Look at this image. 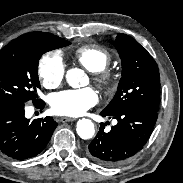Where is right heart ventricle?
Listing matches in <instances>:
<instances>
[{
    "mask_svg": "<svg viewBox=\"0 0 183 183\" xmlns=\"http://www.w3.org/2000/svg\"><path fill=\"white\" fill-rule=\"evenodd\" d=\"M74 57L93 73L105 70L111 61L109 50L99 45H83L76 49Z\"/></svg>",
    "mask_w": 183,
    "mask_h": 183,
    "instance_id": "1",
    "label": "right heart ventricle"
}]
</instances>
